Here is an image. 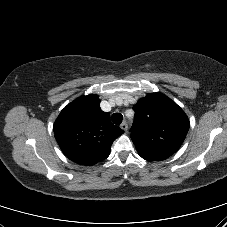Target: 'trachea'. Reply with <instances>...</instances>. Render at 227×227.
Returning a JSON list of instances; mask_svg holds the SVG:
<instances>
[{"label": "trachea", "instance_id": "obj_1", "mask_svg": "<svg viewBox=\"0 0 227 227\" xmlns=\"http://www.w3.org/2000/svg\"><path fill=\"white\" fill-rule=\"evenodd\" d=\"M122 119H123V116L121 113H114L112 115V122L114 124H117V125L120 124L122 122Z\"/></svg>", "mask_w": 227, "mask_h": 227}]
</instances>
